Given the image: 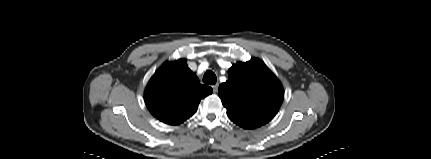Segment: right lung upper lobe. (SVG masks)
<instances>
[{"label": "right lung upper lobe", "mask_w": 431, "mask_h": 159, "mask_svg": "<svg viewBox=\"0 0 431 159\" xmlns=\"http://www.w3.org/2000/svg\"><path fill=\"white\" fill-rule=\"evenodd\" d=\"M212 93L186 65L185 59L164 63L150 79L144 99L148 110L169 125L183 123L197 110L202 98Z\"/></svg>", "instance_id": "cb5924a9"}]
</instances>
